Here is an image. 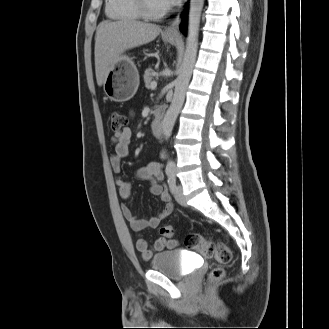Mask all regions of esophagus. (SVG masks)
Here are the masks:
<instances>
[{"instance_id": "34e87169", "label": "esophagus", "mask_w": 329, "mask_h": 329, "mask_svg": "<svg viewBox=\"0 0 329 329\" xmlns=\"http://www.w3.org/2000/svg\"><path fill=\"white\" fill-rule=\"evenodd\" d=\"M181 22L180 15H178L171 23V25L165 30V35L179 36V24Z\"/></svg>"}]
</instances>
